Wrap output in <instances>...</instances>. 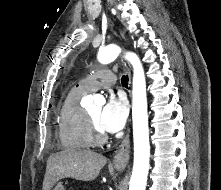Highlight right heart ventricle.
<instances>
[{"mask_svg":"<svg viewBox=\"0 0 221 190\" xmlns=\"http://www.w3.org/2000/svg\"><path fill=\"white\" fill-rule=\"evenodd\" d=\"M88 92L79 84L66 94L58 115V135L62 147L66 150L86 149L90 144L86 128L85 109L81 99Z\"/></svg>","mask_w":221,"mask_h":190,"instance_id":"right-heart-ventricle-1","label":"right heart ventricle"}]
</instances>
